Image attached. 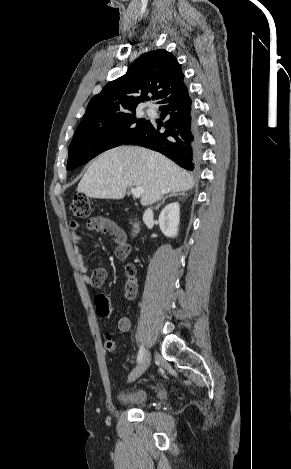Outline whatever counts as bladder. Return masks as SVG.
<instances>
[{"instance_id":"1","label":"bladder","mask_w":291,"mask_h":469,"mask_svg":"<svg viewBox=\"0 0 291 469\" xmlns=\"http://www.w3.org/2000/svg\"><path fill=\"white\" fill-rule=\"evenodd\" d=\"M148 394L144 389H136L121 395L120 401L122 404L131 407H138L145 404Z\"/></svg>"}]
</instances>
